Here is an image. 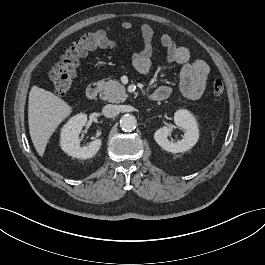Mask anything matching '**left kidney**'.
<instances>
[{
  "label": "left kidney",
  "mask_w": 265,
  "mask_h": 265,
  "mask_svg": "<svg viewBox=\"0 0 265 265\" xmlns=\"http://www.w3.org/2000/svg\"><path fill=\"white\" fill-rule=\"evenodd\" d=\"M174 123L185 130L182 140L172 142L168 140L170 128L164 126L154 134L156 143L164 150L172 153L185 152L191 149L199 139V129L194 116L185 109H180L174 114Z\"/></svg>",
  "instance_id": "5707ae66"
}]
</instances>
